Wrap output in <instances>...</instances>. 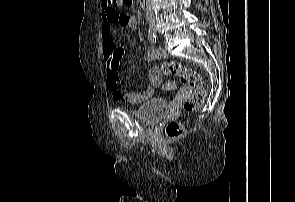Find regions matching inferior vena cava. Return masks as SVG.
<instances>
[{
    "mask_svg": "<svg viewBox=\"0 0 295 202\" xmlns=\"http://www.w3.org/2000/svg\"><path fill=\"white\" fill-rule=\"evenodd\" d=\"M146 17L149 20H154V13L150 4V0H147V5H146Z\"/></svg>",
    "mask_w": 295,
    "mask_h": 202,
    "instance_id": "obj_1",
    "label": "inferior vena cava"
}]
</instances>
